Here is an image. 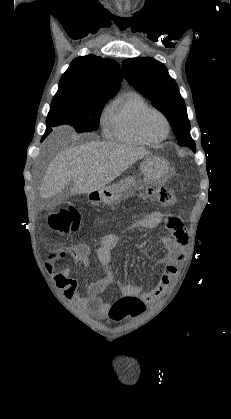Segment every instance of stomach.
Returning a JSON list of instances; mask_svg holds the SVG:
<instances>
[{
    "instance_id": "0dacf381",
    "label": "stomach",
    "mask_w": 231,
    "mask_h": 419,
    "mask_svg": "<svg viewBox=\"0 0 231 419\" xmlns=\"http://www.w3.org/2000/svg\"><path fill=\"white\" fill-rule=\"evenodd\" d=\"M141 173L147 181H162L169 170L168 162L160 157L147 155L140 166ZM137 181L133 177H126L116 184L105 186L97 191L88 194L92 204L103 203L113 204L119 202L131 193Z\"/></svg>"
}]
</instances>
